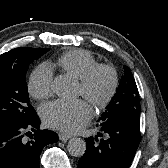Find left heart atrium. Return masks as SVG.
I'll list each match as a JSON object with an SVG mask.
<instances>
[{
    "label": "left heart atrium",
    "instance_id": "39dd6f15",
    "mask_svg": "<svg viewBox=\"0 0 168 168\" xmlns=\"http://www.w3.org/2000/svg\"><path fill=\"white\" fill-rule=\"evenodd\" d=\"M92 111L87 101L57 100L46 105L43 109L45 124L66 133L81 130L91 119Z\"/></svg>",
    "mask_w": 168,
    "mask_h": 168
}]
</instances>
